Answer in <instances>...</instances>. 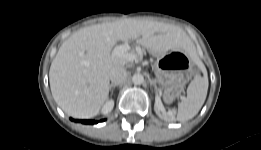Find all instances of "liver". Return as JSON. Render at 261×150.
<instances>
[{"label": "liver", "instance_id": "1", "mask_svg": "<svg viewBox=\"0 0 261 150\" xmlns=\"http://www.w3.org/2000/svg\"><path fill=\"white\" fill-rule=\"evenodd\" d=\"M135 39L152 53L194 48L182 29L162 22L129 18L82 28L62 43L50 66L51 92L61 109L76 118L96 116L108 98L110 70L131 62L113 53L116 43Z\"/></svg>", "mask_w": 261, "mask_h": 150}]
</instances>
